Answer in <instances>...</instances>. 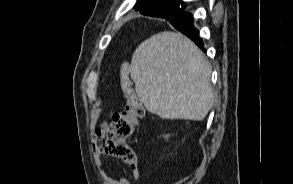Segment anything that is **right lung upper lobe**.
Returning a JSON list of instances; mask_svg holds the SVG:
<instances>
[{"label": "right lung upper lobe", "mask_w": 293, "mask_h": 184, "mask_svg": "<svg viewBox=\"0 0 293 184\" xmlns=\"http://www.w3.org/2000/svg\"><path fill=\"white\" fill-rule=\"evenodd\" d=\"M135 9L143 15L165 19L181 11L180 0H138Z\"/></svg>", "instance_id": "right-lung-upper-lobe-1"}]
</instances>
